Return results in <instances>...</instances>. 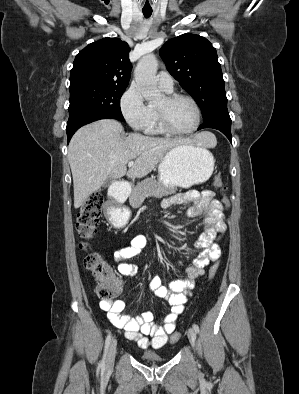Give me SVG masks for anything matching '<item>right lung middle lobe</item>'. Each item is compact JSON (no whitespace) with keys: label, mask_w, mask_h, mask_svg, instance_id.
Instances as JSON below:
<instances>
[{"label":"right lung middle lobe","mask_w":299,"mask_h":394,"mask_svg":"<svg viewBox=\"0 0 299 394\" xmlns=\"http://www.w3.org/2000/svg\"><path fill=\"white\" fill-rule=\"evenodd\" d=\"M127 86L111 84H84L70 87L69 114L76 111L106 112L124 121L120 99Z\"/></svg>","instance_id":"right-lung-middle-lobe-1"}]
</instances>
